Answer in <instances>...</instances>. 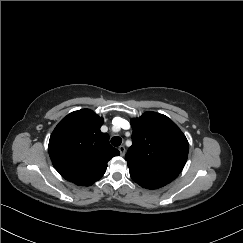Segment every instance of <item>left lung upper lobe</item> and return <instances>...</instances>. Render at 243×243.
I'll list each match as a JSON object with an SVG mask.
<instances>
[{"instance_id": "1", "label": "left lung upper lobe", "mask_w": 243, "mask_h": 243, "mask_svg": "<svg viewBox=\"0 0 243 243\" xmlns=\"http://www.w3.org/2000/svg\"><path fill=\"white\" fill-rule=\"evenodd\" d=\"M131 126L132 146L125 160L133 181L148 189L172 182L187 161L185 135L167 116L151 111L132 119Z\"/></svg>"}]
</instances>
